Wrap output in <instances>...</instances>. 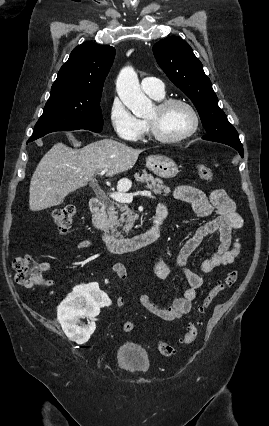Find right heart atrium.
Masks as SVG:
<instances>
[{
  "instance_id": "d8ad5b80",
  "label": "right heart atrium",
  "mask_w": 269,
  "mask_h": 426,
  "mask_svg": "<svg viewBox=\"0 0 269 426\" xmlns=\"http://www.w3.org/2000/svg\"><path fill=\"white\" fill-rule=\"evenodd\" d=\"M109 121L114 133L123 140L136 141L145 132L143 121L138 119L117 96H113L109 103Z\"/></svg>"
}]
</instances>
